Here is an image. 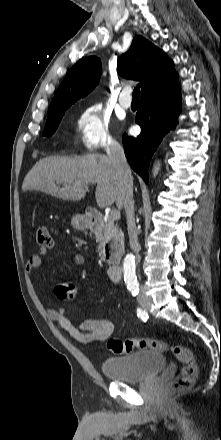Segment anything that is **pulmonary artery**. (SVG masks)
<instances>
[{
    "label": "pulmonary artery",
    "mask_w": 221,
    "mask_h": 440,
    "mask_svg": "<svg viewBox=\"0 0 221 440\" xmlns=\"http://www.w3.org/2000/svg\"><path fill=\"white\" fill-rule=\"evenodd\" d=\"M130 93H131L130 88L126 87L122 90L120 94L119 103L123 108H129L131 106L132 99Z\"/></svg>",
    "instance_id": "1"
}]
</instances>
